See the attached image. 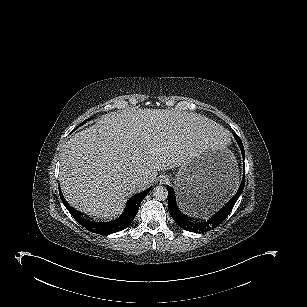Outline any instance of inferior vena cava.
I'll use <instances>...</instances> for the list:
<instances>
[{
	"label": "inferior vena cava",
	"instance_id": "obj_1",
	"mask_svg": "<svg viewBox=\"0 0 307 307\" xmlns=\"http://www.w3.org/2000/svg\"><path fill=\"white\" fill-rule=\"evenodd\" d=\"M143 183H145V181L141 178H135V179H132L131 182H130V186L132 188H137L139 187L140 185H142Z\"/></svg>",
	"mask_w": 307,
	"mask_h": 307
}]
</instances>
